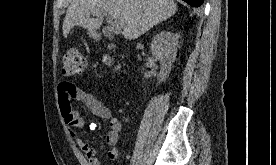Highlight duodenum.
<instances>
[{
    "label": "duodenum",
    "instance_id": "obj_1",
    "mask_svg": "<svg viewBox=\"0 0 276 165\" xmlns=\"http://www.w3.org/2000/svg\"><path fill=\"white\" fill-rule=\"evenodd\" d=\"M109 48L115 51V47L114 46H110Z\"/></svg>",
    "mask_w": 276,
    "mask_h": 165
}]
</instances>
